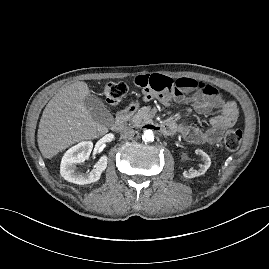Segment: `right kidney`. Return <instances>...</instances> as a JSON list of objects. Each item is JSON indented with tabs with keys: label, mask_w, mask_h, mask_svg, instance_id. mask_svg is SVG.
<instances>
[{
	"label": "right kidney",
	"mask_w": 269,
	"mask_h": 269,
	"mask_svg": "<svg viewBox=\"0 0 269 269\" xmlns=\"http://www.w3.org/2000/svg\"><path fill=\"white\" fill-rule=\"evenodd\" d=\"M92 149L93 143L91 141L80 142L71 147L62 158L60 166L61 176L65 180L79 185L98 181L107 167V156H101L94 169L89 173H81L77 171L76 167L78 163H82L89 158Z\"/></svg>",
	"instance_id": "1"
}]
</instances>
